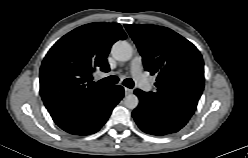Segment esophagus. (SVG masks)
I'll return each mask as SVG.
<instances>
[{
    "label": "esophagus",
    "instance_id": "34e87169",
    "mask_svg": "<svg viewBox=\"0 0 248 158\" xmlns=\"http://www.w3.org/2000/svg\"><path fill=\"white\" fill-rule=\"evenodd\" d=\"M124 92H125V95H129V94L133 93V90L125 87Z\"/></svg>",
    "mask_w": 248,
    "mask_h": 158
}]
</instances>
